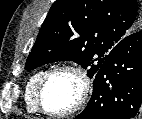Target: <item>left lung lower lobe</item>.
<instances>
[{
    "label": "left lung lower lobe",
    "mask_w": 142,
    "mask_h": 119,
    "mask_svg": "<svg viewBox=\"0 0 142 119\" xmlns=\"http://www.w3.org/2000/svg\"><path fill=\"white\" fill-rule=\"evenodd\" d=\"M142 116V30L124 37L94 76L92 97L75 119Z\"/></svg>",
    "instance_id": "0a47b994"
}]
</instances>
